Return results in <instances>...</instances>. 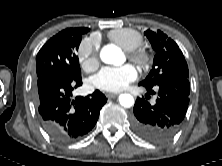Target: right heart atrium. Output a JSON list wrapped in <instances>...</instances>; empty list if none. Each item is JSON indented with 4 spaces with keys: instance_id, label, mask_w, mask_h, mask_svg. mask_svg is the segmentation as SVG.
<instances>
[{
    "instance_id": "1",
    "label": "right heart atrium",
    "mask_w": 222,
    "mask_h": 166,
    "mask_svg": "<svg viewBox=\"0 0 222 166\" xmlns=\"http://www.w3.org/2000/svg\"><path fill=\"white\" fill-rule=\"evenodd\" d=\"M77 58L81 67L92 71L99 65V42L96 37L84 39L79 45Z\"/></svg>"
}]
</instances>
